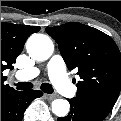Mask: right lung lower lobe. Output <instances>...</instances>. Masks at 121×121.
<instances>
[{"label": "right lung lower lobe", "mask_w": 121, "mask_h": 121, "mask_svg": "<svg viewBox=\"0 0 121 121\" xmlns=\"http://www.w3.org/2000/svg\"><path fill=\"white\" fill-rule=\"evenodd\" d=\"M39 90L13 91L1 97V121H21L27 106L41 97Z\"/></svg>", "instance_id": "obj_1"}]
</instances>
